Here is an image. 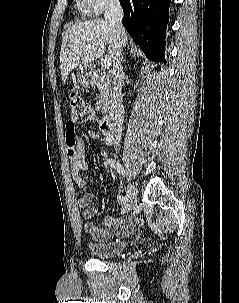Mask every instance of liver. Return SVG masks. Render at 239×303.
Returning a JSON list of instances; mask_svg holds the SVG:
<instances>
[{
    "label": "liver",
    "mask_w": 239,
    "mask_h": 303,
    "mask_svg": "<svg viewBox=\"0 0 239 303\" xmlns=\"http://www.w3.org/2000/svg\"><path fill=\"white\" fill-rule=\"evenodd\" d=\"M116 42L115 29L106 20L80 21L68 27L60 51L62 81H66L73 69L100 58L107 44H109V58L114 63ZM127 42L126 37L125 44Z\"/></svg>",
    "instance_id": "obj_1"
}]
</instances>
